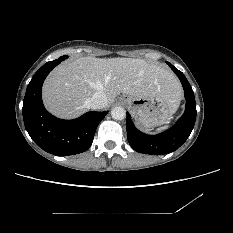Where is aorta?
I'll list each match as a JSON object with an SVG mask.
<instances>
[{
    "label": "aorta",
    "mask_w": 233,
    "mask_h": 233,
    "mask_svg": "<svg viewBox=\"0 0 233 233\" xmlns=\"http://www.w3.org/2000/svg\"><path fill=\"white\" fill-rule=\"evenodd\" d=\"M111 116L115 120H123L126 117V111L123 107L116 106L112 109Z\"/></svg>",
    "instance_id": "obj_1"
}]
</instances>
